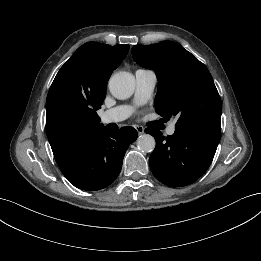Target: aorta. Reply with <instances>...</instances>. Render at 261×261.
<instances>
[{
  "mask_svg": "<svg viewBox=\"0 0 261 261\" xmlns=\"http://www.w3.org/2000/svg\"><path fill=\"white\" fill-rule=\"evenodd\" d=\"M108 87L115 98L124 100L133 94L135 79L131 73L121 71L111 76ZM155 145L154 137L149 134H142L137 139V147L143 153L152 152Z\"/></svg>",
  "mask_w": 261,
  "mask_h": 261,
  "instance_id": "aorta-1",
  "label": "aorta"
}]
</instances>
